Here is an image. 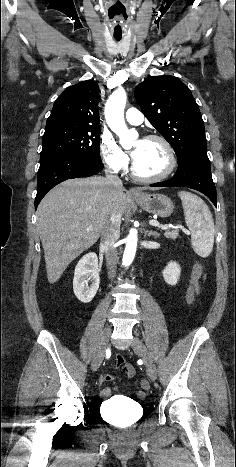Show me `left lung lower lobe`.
<instances>
[{"label": "left lung lower lobe", "mask_w": 236, "mask_h": 467, "mask_svg": "<svg viewBox=\"0 0 236 467\" xmlns=\"http://www.w3.org/2000/svg\"><path fill=\"white\" fill-rule=\"evenodd\" d=\"M178 164L179 167L171 179L150 186H175L195 189L205 194L216 206V188L212 179L210 161L206 149L191 152L184 161Z\"/></svg>", "instance_id": "0a47b994"}]
</instances>
